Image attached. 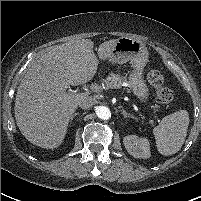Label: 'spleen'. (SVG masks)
<instances>
[{"label":"spleen","mask_w":201,"mask_h":201,"mask_svg":"<svg viewBox=\"0 0 201 201\" xmlns=\"http://www.w3.org/2000/svg\"><path fill=\"white\" fill-rule=\"evenodd\" d=\"M188 125L189 116L186 110L164 117L153 129L158 152L166 156L178 152L185 141Z\"/></svg>","instance_id":"1"}]
</instances>
